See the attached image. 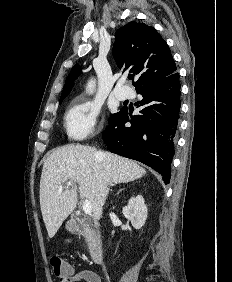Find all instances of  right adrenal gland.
Returning <instances> with one entry per match:
<instances>
[{
    "mask_svg": "<svg viewBox=\"0 0 232 282\" xmlns=\"http://www.w3.org/2000/svg\"><path fill=\"white\" fill-rule=\"evenodd\" d=\"M122 190H124V188H123V189H120V190L117 192V194H119Z\"/></svg>",
    "mask_w": 232,
    "mask_h": 282,
    "instance_id": "1",
    "label": "right adrenal gland"
}]
</instances>
